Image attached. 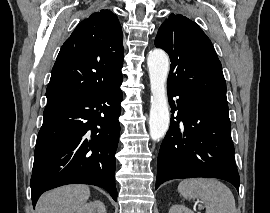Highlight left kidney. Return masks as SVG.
<instances>
[{
	"label": "left kidney",
	"instance_id": "5707ae66",
	"mask_svg": "<svg viewBox=\"0 0 270 213\" xmlns=\"http://www.w3.org/2000/svg\"><path fill=\"white\" fill-rule=\"evenodd\" d=\"M169 213H194L192 210L181 204H175L169 209Z\"/></svg>",
	"mask_w": 270,
	"mask_h": 213
}]
</instances>
